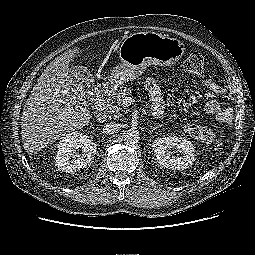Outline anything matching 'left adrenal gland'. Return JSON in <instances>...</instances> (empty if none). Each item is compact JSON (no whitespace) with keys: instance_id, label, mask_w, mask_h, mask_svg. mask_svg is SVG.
<instances>
[{"instance_id":"1","label":"left adrenal gland","mask_w":255,"mask_h":255,"mask_svg":"<svg viewBox=\"0 0 255 255\" xmlns=\"http://www.w3.org/2000/svg\"><path fill=\"white\" fill-rule=\"evenodd\" d=\"M158 127H154L152 130H150L148 133L151 134L155 129H157Z\"/></svg>"}]
</instances>
